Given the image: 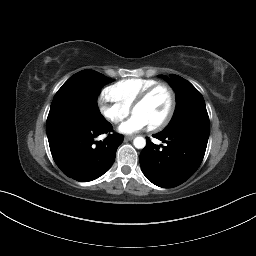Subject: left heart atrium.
Here are the masks:
<instances>
[{"label": "left heart atrium", "instance_id": "obj_1", "mask_svg": "<svg viewBox=\"0 0 256 256\" xmlns=\"http://www.w3.org/2000/svg\"><path fill=\"white\" fill-rule=\"evenodd\" d=\"M150 125L147 120L139 114H132L130 118L124 121L118 128L123 134H133L140 132Z\"/></svg>", "mask_w": 256, "mask_h": 256}]
</instances>
